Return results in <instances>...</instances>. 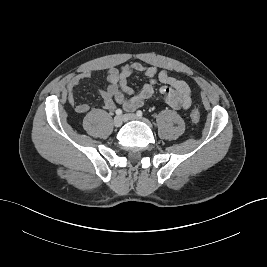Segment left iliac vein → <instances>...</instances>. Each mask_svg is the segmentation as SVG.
<instances>
[{
  "label": "left iliac vein",
  "mask_w": 267,
  "mask_h": 267,
  "mask_svg": "<svg viewBox=\"0 0 267 267\" xmlns=\"http://www.w3.org/2000/svg\"><path fill=\"white\" fill-rule=\"evenodd\" d=\"M124 119L125 120H138V121H143L147 125L151 126V123L147 119L141 118V117H139V116H137L135 114H125L124 115Z\"/></svg>",
  "instance_id": "1"
}]
</instances>
